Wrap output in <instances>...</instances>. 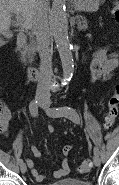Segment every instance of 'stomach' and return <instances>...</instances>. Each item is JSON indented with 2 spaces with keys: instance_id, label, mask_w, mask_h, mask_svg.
I'll return each instance as SVG.
<instances>
[{
  "instance_id": "1",
  "label": "stomach",
  "mask_w": 119,
  "mask_h": 185,
  "mask_svg": "<svg viewBox=\"0 0 119 185\" xmlns=\"http://www.w3.org/2000/svg\"><path fill=\"white\" fill-rule=\"evenodd\" d=\"M103 0H74V8L77 11L94 12L97 11L100 2Z\"/></svg>"
}]
</instances>
